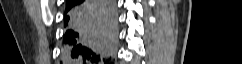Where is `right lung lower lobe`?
<instances>
[{
  "label": "right lung lower lobe",
  "mask_w": 242,
  "mask_h": 64,
  "mask_svg": "<svg viewBox=\"0 0 242 64\" xmlns=\"http://www.w3.org/2000/svg\"><path fill=\"white\" fill-rule=\"evenodd\" d=\"M115 0H67L63 18L64 64H109L117 35Z\"/></svg>",
  "instance_id": "98d812e1"
}]
</instances>
